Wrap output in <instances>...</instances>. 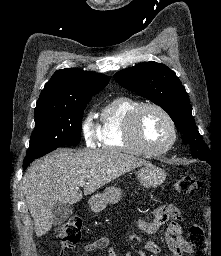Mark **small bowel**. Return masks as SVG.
Masks as SVG:
<instances>
[{"mask_svg": "<svg viewBox=\"0 0 221 256\" xmlns=\"http://www.w3.org/2000/svg\"><path fill=\"white\" fill-rule=\"evenodd\" d=\"M180 219V212L175 206L163 205L153 210L151 220L136 221L135 226L146 234H152L167 221L171 220L166 231V243L173 256H183V254L189 250L190 246L188 242L181 237L182 228L178 223ZM107 248L108 256H118L116 250L110 247L109 239L106 237H100L85 244L83 250L87 253H91ZM145 250L149 252L151 256H157L160 253V247L151 239L145 242Z\"/></svg>", "mask_w": 221, "mask_h": 256, "instance_id": "small-bowel-1", "label": "small bowel"}]
</instances>
